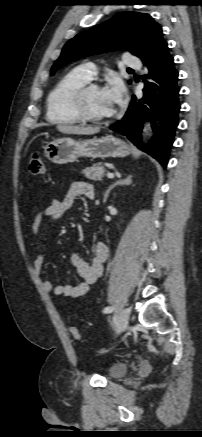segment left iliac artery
<instances>
[{"label":"left iliac artery","mask_w":202,"mask_h":437,"mask_svg":"<svg viewBox=\"0 0 202 437\" xmlns=\"http://www.w3.org/2000/svg\"><path fill=\"white\" fill-rule=\"evenodd\" d=\"M113 310H114L113 307H106V308H104L103 312H104V313H110V312H112Z\"/></svg>","instance_id":"1"}]
</instances>
